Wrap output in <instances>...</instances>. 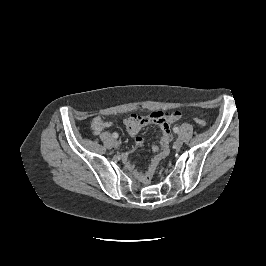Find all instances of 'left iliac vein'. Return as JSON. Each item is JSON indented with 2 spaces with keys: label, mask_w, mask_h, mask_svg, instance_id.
<instances>
[{
  "label": "left iliac vein",
  "mask_w": 266,
  "mask_h": 266,
  "mask_svg": "<svg viewBox=\"0 0 266 266\" xmlns=\"http://www.w3.org/2000/svg\"><path fill=\"white\" fill-rule=\"evenodd\" d=\"M182 144H183V141L181 138H177L175 143H174L176 148H180L182 146Z\"/></svg>",
  "instance_id": "obj_1"
}]
</instances>
